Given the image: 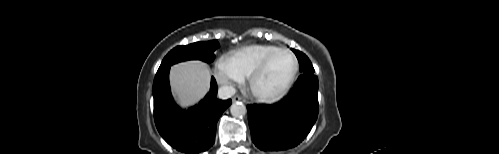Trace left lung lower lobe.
Segmentation results:
<instances>
[{"instance_id":"1","label":"left lung lower lobe","mask_w":499,"mask_h":154,"mask_svg":"<svg viewBox=\"0 0 499 154\" xmlns=\"http://www.w3.org/2000/svg\"><path fill=\"white\" fill-rule=\"evenodd\" d=\"M253 143L263 151L297 146L308 135L318 116V78L302 73L290 93L273 105H248Z\"/></svg>"}]
</instances>
